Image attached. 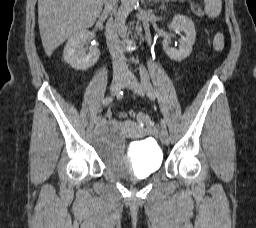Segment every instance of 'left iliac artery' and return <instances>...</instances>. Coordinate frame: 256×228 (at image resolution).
<instances>
[{"instance_id":"44dca946","label":"left iliac artery","mask_w":256,"mask_h":228,"mask_svg":"<svg viewBox=\"0 0 256 228\" xmlns=\"http://www.w3.org/2000/svg\"><path fill=\"white\" fill-rule=\"evenodd\" d=\"M139 73H140V79H141L142 86H143L145 92L147 93L148 97L150 99H155L156 92L150 82L148 71L144 65H140ZM161 127H162V129H166V124H165L164 120H161Z\"/></svg>"}]
</instances>
